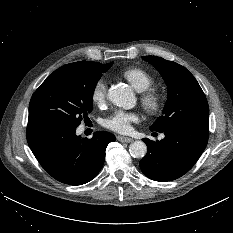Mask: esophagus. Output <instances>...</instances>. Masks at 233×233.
<instances>
[{
  "label": "esophagus",
  "instance_id": "1",
  "mask_svg": "<svg viewBox=\"0 0 233 233\" xmlns=\"http://www.w3.org/2000/svg\"><path fill=\"white\" fill-rule=\"evenodd\" d=\"M117 139L120 141V142H126V143H130L133 141L132 138L130 137H125V136H118Z\"/></svg>",
  "mask_w": 233,
  "mask_h": 233
}]
</instances>
